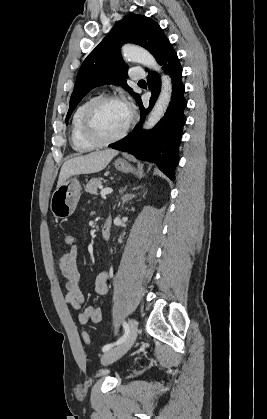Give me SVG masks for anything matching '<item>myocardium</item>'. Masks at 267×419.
<instances>
[{
	"instance_id": "myocardium-1",
	"label": "myocardium",
	"mask_w": 267,
	"mask_h": 419,
	"mask_svg": "<svg viewBox=\"0 0 267 419\" xmlns=\"http://www.w3.org/2000/svg\"><path fill=\"white\" fill-rule=\"evenodd\" d=\"M113 101L122 102L126 104L130 112V117L125 127L118 134L109 138H104L98 135L96 131L94 130L93 116L96 110L101 105L107 102H113ZM134 122H135V113L123 97L118 96V95H113V94L102 95V96L94 98L85 108L82 115V119H81V133L88 142L96 146L109 145L111 143L117 142L121 140L122 138H124L129 132Z\"/></svg>"
}]
</instances>
